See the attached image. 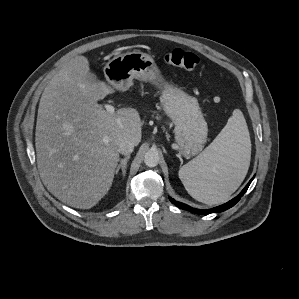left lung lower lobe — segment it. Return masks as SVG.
<instances>
[{
	"mask_svg": "<svg viewBox=\"0 0 299 299\" xmlns=\"http://www.w3.org/2000/svg\"><path fill=\"white\" fill-rule=\"evenodd\" d=\"M253 178L248 182V184L245 186V188L242 190V192L238 196H236L235 198H233L229 202H227L223 205H220L218 207L212 208V209H207V210L195 209V208H192V207H190L186 204L175 201L174 199H172L170 197H169V199L178 208H181V209H184V210L196 213V214L207 215V214H210V213H218V212L225 211V210L231 208L232 206H234L240 200V198L243 196V194L246 192V190L248 189V187H249L250 183L252 182Z\"/></svg>",
	"mask_w": 299,
	"mask_h": 299,
	"instance_id": "0a47b994",
	"label": "left lung lower lobe"
}]
</instances>
